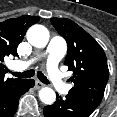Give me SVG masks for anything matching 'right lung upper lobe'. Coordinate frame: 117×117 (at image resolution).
I'll list each match as a JSON object with an SVG mask.
<instances>
[{
  "mask_svg": "<svg viewBox=\"0 0 117 117\" xmlns=\"http://www.w3.org/2000/svg\"><path fill=\"white\" fill-rule=\"evenodd\" d=\"M38 21L39 17L25 15L0 23V99L22 81L5 78L7 67L3 64L4 58L18 56L17 47L23 40L27 29Z\"/></svg>",
  "mask_w": 117,
  "mask_h": 117,
  "instance_id": "right-lung-upper-lobe-1",
  "label": "right lung upper lobe"
}]
</instances>
